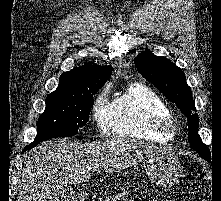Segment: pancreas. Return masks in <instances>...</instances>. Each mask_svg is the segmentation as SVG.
I'll return each mask as SVG.
<instances>
[{"label": "pancreas", "mask_w": 221, "mask_h": 201, "mask_svg": "<svg viewBox=\"0 0 221 201\" xmlns=\"http://www.w3.org/2000/svg\"><path fill=\"white\" fill-rule=\"evenodd\" d=\"M104 201H116L115 196H107Z\"/></svg>", "instance_id": "1"}]
</instances>
